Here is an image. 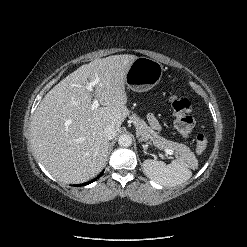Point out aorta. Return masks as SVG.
Listing matches in <instances>:
<instances>
[{"instance_id": "aorta-1", "label": "aorta", "mask_w": 247, "mask_h": 247, "mask_svg": "<svg viewBox=\"0 0 247 247\" xmlns=\"http://www.w3.org/2000/svg\"><path fill=\"white\" fill-rule=\"evenodd\" d=\"M118 144L121 147H130L132 145V138L128 134H122L118 139Z\"/></svg>"}]
</instances>
